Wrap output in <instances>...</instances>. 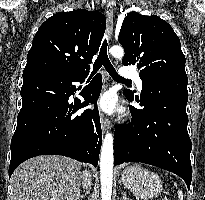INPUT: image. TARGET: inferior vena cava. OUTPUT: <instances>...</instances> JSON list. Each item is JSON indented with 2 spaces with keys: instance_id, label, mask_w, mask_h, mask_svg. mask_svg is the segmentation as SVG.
Returning <instances> with one entry per match:
<instances>
[{
  "instance_id": "602c4592",
  "label": "inferior vena cava",
  "mask_w": 205,
  "mask_h": 200,
  "mask_svg": "<svg viewBox=\"0 0 205 200\" xmlns=\"http://www.w3.org/2000/svg\"><path fill=\"white\" fill-rule=\"evenodd\" d=\"M81 181H82L83 188L87 191V189H89V187L92 184L91 174L89 171L87 170L83 171L81 175Z\"/></svg>"
}]
</instances>
